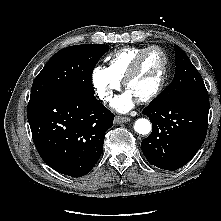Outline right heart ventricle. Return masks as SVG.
Segmentation results:
<instances>
[{
	"instance_id": "1",
	"label": "right heart ventricle",
	"mask_w": 221,
	"mask_h": 221,
	"mask_svg": "<svg viewBox=\"0 0 221 221\" xmlns=\"http://www.w3.org/2000/svg\"><path fill=\"white\" fill-rule=\"evenodd\" d=\"M146 47H126L116 51L109 60L108 69L119 80L127 73L134 58Z\"/></svg>"
}]
</instances>
